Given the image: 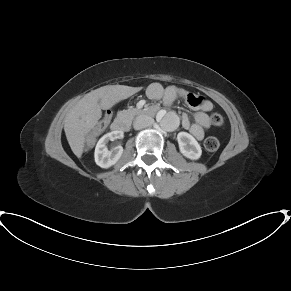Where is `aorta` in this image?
<instances>
[{
	"label": "aorta",
	"instance_id": "obj_1",
	"mask_svg": "<svg viewBox=\"0 0 291 291\" xmlns=\"http://www.w3.org/2000/svg\"><path fill=\"white\" fill-rule=\"evenodd\" d=\"M161 128L165 131H174L179 126V118L174 113L168 112L158 115Z\"/></svg>",
	"mask_w": 291,
	"mask_h": 291
}]
</instances>
